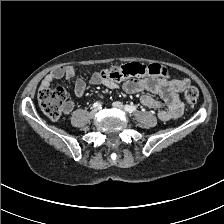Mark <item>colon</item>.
<instances>
[{
  "mask_svg": "<svg viewBox=\"0 0 224 224\" xmlns=\"http://www.w3.org/2000/svg\"><path fill=\"white\" fill-rule=\"evenodd\" d=\"M102 75L110 81L119 82L128 77L142 75L165 78L169 75V72L166 67L157 63L147 66L130 63L120 67L108 68L103 71ZM184 95L186 101L191 105H195L199 99V91L194 86H188ZM38 102L44 113L54 120L58 119L69 106L68 94L62 87H41L38 91Z\"/></svg>",
  "mask_w": 224,
  "mask_h": 224,
  "instance_id": "1",
  "label": "colon"
}]
</instances>
